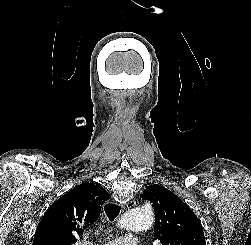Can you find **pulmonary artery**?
Here are the masks:
<instances>
[{"mask_svg": "<svg viewBox=\"0 0 251 245\" xmlns=\"http://www.w3.org/2000/svg\"><path fill=\"white\" fill-rule=\"evenodd\" d=\"M106 245H137V238L126 235L108 242Z\"/></svg>", "mask_w": 251, "mask_h": 245, "instance_id": "pulmonary-artery-1", "label": "pulmonary artery"}]
</instances>
